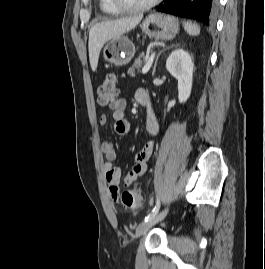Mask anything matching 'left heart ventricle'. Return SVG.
I'll return each instance as SVG.
<instances>
[{"label": "left heart ventricle", "instance_id": "left-heart-ventricle-1", "mask_svg": "<svg viewBox=\"0 0 265 269\" xmlns=\"http://www.w3.org/2000/svg\"><path fill=\"white\" fill-rule=\"evenodd\" d=\"M123 1L129 4L138 5V4L146 3L150 0H123Z\"/></svg>", "mask_w": 265, "mask_h": 269}]
</instances>
